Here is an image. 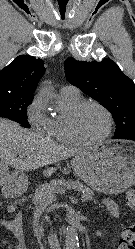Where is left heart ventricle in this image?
Listing matches in <instances>:
<instances>
[{"mask_svg": "<svg viewBox=\"0 0 135 249\" xmlns=\"http://www.w3.org/2000/svg\"><path fill=\"white\" fill-rule=\"evenodd\" d=\"M76 129L83 138L96 139L105 133L107 119L100 109L89 106L77 117Z\"/></svg>", "mask_w": 135, "mask_h": 249, "instance_id": "left-heart-ventricle-1", "label": "left heart ventricle"}]
</instances>
